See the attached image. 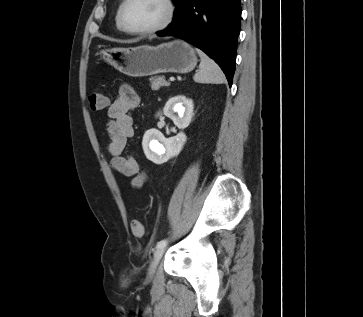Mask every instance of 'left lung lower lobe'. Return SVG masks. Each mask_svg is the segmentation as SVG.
Listing matches in <instances>:
<instances>
[{"mask_svg": "<svg viewBox=\"0 0 363 317\" xmlns=\"http://www.w3.org/2000/svg\"><path fill=\"white\" fill-rule=\"evenodd\" d=\"M172 23L158 36H177L205 51L225 73L235 72L240 31V0H175Z\"/></svg>", "mask_w": 363, "mask_h": 317, "instance_id": "left-lung-lower-lobe-1", "label": "left lung lower lobe"}]
</instances>
